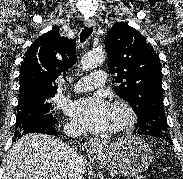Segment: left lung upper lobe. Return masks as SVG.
I'll return each instance as SVG.
<instances>
[{
    "instance_id": "1",
    "label": "left lung upper lobe",
    "mask_w": 183,
    "mask_h": 179,
    "mask_svg": "<svg viewBox=\"0 0 183 179\" xmlns=\"http://www.w3.org/2000/svg\"><path fill=\"white\" fill-rule=\"evenodd\" d=\"M108 69L115 75V91L132 106L140 134L169 137L162 100L161 64L146 39L127 23H116L105 44Z\"/></svg>"
}]
</instances>
